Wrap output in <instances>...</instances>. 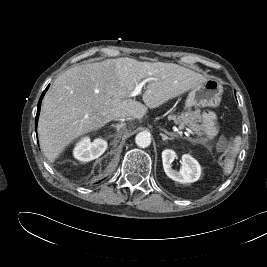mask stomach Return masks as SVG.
Here are the masks:
<instances>
[{
  "mask_svg": "<svg viewBox=\"0 0 267 267\" xmlns=\"http://www.w3.org/2000/svg\"><path fill=\"white\" fill-rule=\"evenodd\" d=\"M223 87L218 79H207L191 89L185 102V109L192 107H217L222 98Z\"/></svg>",
  "mask_w": 267,
  "mask_h": 267,
  "instance_id": "0dacf381",
  "label": "stomach"
}]
</instances>
